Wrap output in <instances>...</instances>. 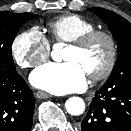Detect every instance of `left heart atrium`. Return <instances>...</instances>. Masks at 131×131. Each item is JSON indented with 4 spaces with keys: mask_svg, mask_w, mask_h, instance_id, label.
Returning <instances> with one entry per match:
<instances>
[{
    "mask_svg": "<svg viewBox=\"0 0 131 131\" xmlns=\"http://www.w3.org/2000/svg\"><path fill=\"white\" fill-rule=\"evenodd\" d=\"M31 83L54 94L82 91L87 86V75L74 61L47 63L35 69L30 76Z\"/></svg>",
    "mask_w": 131,
    "mask_h": 131,
    "instance_id": "1",
    "label": "left heart atrium"
}]
</instances>
